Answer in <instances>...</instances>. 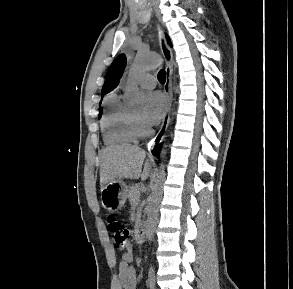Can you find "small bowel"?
<instances>
[{"label": "small bowel", "instance_id": "c3829d8e", "mask_svg": "<svg viewBox=\"0 0 293 289\" xmlns=\"http://www.w3.org/2000/svg\"><path fill=\"white\" fill-rule=\"evenodd\" d=\"M132 262L133 253L132 249L129 248L121 255L118 267V276L113 284V289H136L138 279Z\"/></svg>", "mask_w": 293, "mask_h": 289}]
</instances>
